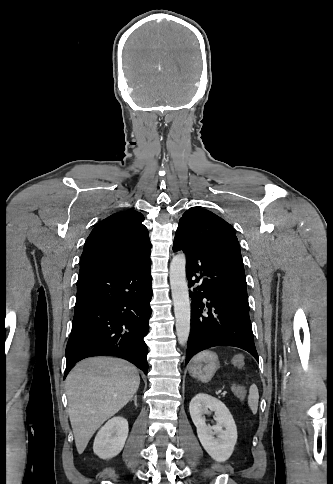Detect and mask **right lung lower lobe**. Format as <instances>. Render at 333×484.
I'll return each mask as SVG.
<instances>
[{
	"mask_svg": "<svg viewBox=\"0 0 333 484\" xmlns=\"http://www.w3.org/2000/svg\"><path fill=\"white\" fill-rule=\"evenodd\" d=\"M150 257L114 268L79 273L64 378L78 361L101 355L122 357L147 374L144 337L151 316Z\"/></svg>",
	"mask_w": 333,
	"mask_h": 484,
	"instance_id": "1",
	"label": "right lung lower lobe"
}]
</instances>
